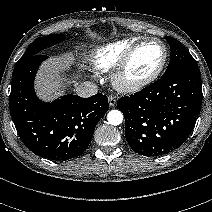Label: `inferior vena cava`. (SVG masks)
<instances>
[{
  "label": "inferior vena cava",
  "mask_w": 212,
  "mask_h": 212,
  "mask_svg": "<svg viewBox=\"0 0 212 212\" xmlns=\"http://www.w3.org/2000/svg\"><path fill=\"white\" fill-rule=\"evenodd\" d=\"M97 92H98L97 85L89 81L81 83L76 88L77 95L83 98L91 97L97 94Z\"/></svg>",
  "instance_id": "inferior-vena-cava-1"
}]
</instances>
